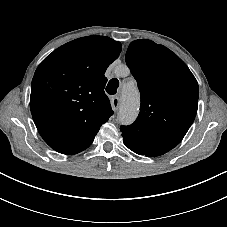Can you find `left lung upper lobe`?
<instances>
[{"label":"left lung upper lobe","instance_id":"obj_1","mask_svg":"<svg viewBox=\"0 0 227 227\" xmlns=\"http://www.w3.org/2000/svg\"><path fill=\"white\" fill-rule=\"evenodd\" d=\"M125 60L141 105L136 121L120 128L124 144L137 154L162 155L181 142L193 123L198 83L175 53L151 40L131 42Z\"/></svg>","mask_w":227,"mask_h":227}]
</instances>
